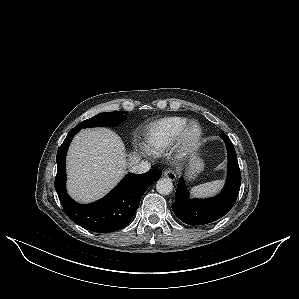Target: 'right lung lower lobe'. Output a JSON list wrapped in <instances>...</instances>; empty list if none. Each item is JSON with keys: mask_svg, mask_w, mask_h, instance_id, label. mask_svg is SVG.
Returning a JSON list of instances; mask_svg holds the SVG:
<instances>
[{"mask_svg": "<svg viewBox=\"0 0 299 299\" xmlns=\"http://www.w3.org/2000/svg\"><path fill=\"white\" fill-rule=\"evenodd\" d=\"M79 131L72 128L57 151L55 189L67 216L79 226L99 233L120 230L128 225L139 207L141 197L162 172L152 169L143 175L128 174L104 198L82 205L73 201L65 189V158L72 138Z\"/></svg>", "mask_w": 299, "mask_h": 299, "instance_id": "1", "label": "right lung lower lobe"}]
</instances>
